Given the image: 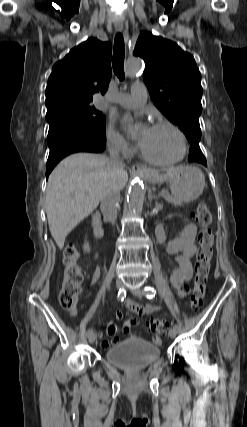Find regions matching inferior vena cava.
Instances as JSON below:
<instances>
[{
  "label": "inferior vena cava",
  "mask_w": 247,
  "mask_h": 427,
  "mask_svg": "<svg viewBox=\"0 0 247 427\" xmlns=\"http://www.w3.org/2000/svg\"><path fill=\"white\" fill-rule=\"evenodd\" d=\"M110 162L116 167H123V161L120 158L119 150L115 146H110ZM120 200V192L118 190L111 189L104 194L100 201V209L105 219L110 221L112 224L115 223L117 218V205Z\"/></svg>",
  "instance_id": "1"
}]
</instances>
